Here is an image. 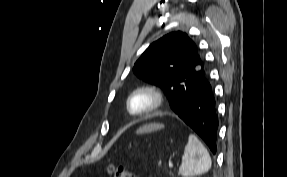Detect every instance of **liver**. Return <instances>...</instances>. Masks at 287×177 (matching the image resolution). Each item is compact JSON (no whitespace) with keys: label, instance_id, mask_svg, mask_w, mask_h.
<instances>
[{"label":"liver","instance_id":"1","mask_svg":"<svg viewBox=\"0 0 287 177\" xmlns=\"http://www.w3.org/2000/svg\"><path fill=\"white\" fill-rule=\"evenodd\" d=\"M162 128H164L163 124H148V125L140 127L136 131V133L137 134H143V133H148V132H152V131H155V130H160Z\"/></svg>","mask_w":287,"mask_h":177}]
</instances>
